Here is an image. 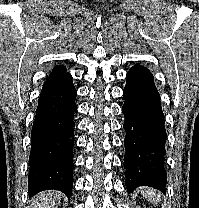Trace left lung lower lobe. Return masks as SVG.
I'll use <instances>...</instances> for the list:
<instances>
[{
    "label": "left lung lower lobe",
    "instance_id": "1",
    "mask_svg": "<svg viewBox=\"0 0 199 208\" xmlns=\"http://www.w3.org/2000/svg\"><path fill=\"white\" fill-rule=\"evenodd\" d=\"M126 81L122 108L126 130V188L130 193L143 185L164 192L167 180L164 169L166 130L160 95L151 72L144 66H133Z\"/></svg>",
    "mask_w": 199,
    "mask_h": 208
}]
</instances>
